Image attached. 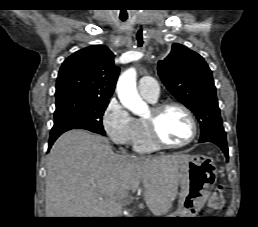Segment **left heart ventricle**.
Instances as JSON below:
<instances>
[{"label": "left heart ventricle", "instance_id": "left-heart-ventricle-1", "mask_svg": "<svg viewBox=\"0 0 258 227\" xmlns=\"http://www.w3.org/2000/svg\"><path fill=\"white\" fill-rule=\"evenodd\" d=\"M153 115L150 110L146 118ZM157 126L161 137L169 143H180L189 138L192 127L187 115L179 108L166 109L157 119Z\"/></svg>", "mask_w": 258, "mask_h": 227}]
</instances>
